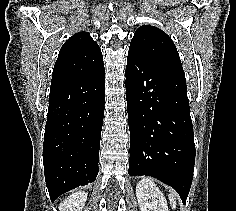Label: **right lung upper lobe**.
I'll list each match as a JSON object with an SVG mask.
<instances>
[{
  "label": "right lung upper lobe",
  "mask_w": 236,
  "mask_h": 211,
  "mask_svg": "<svg viewBox=\"0 0 236 211\" xmlns=\"http://www.w3.org/2000/svg\"><path fill=\"white\" fill-rule=\"evenodd\" d=\"M103 69V56L98 44L89 33H76L64 43L59 52L51 87L92 77Z\"/></svg>",
  "instance_id": "right-lung-upper-lobe-1"
}]
</instances>
